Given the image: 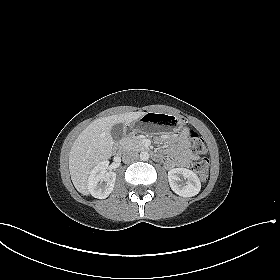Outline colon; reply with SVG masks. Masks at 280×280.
I'll return each mask as SVG.
<instances>
[{
  "mask_svg": "<svg viewBox=\"0 0 280 280\" xmlns=\"http://www.w3.org/2000/svg\"><path fill=\"white\" fill-rule=\"evenodd\" d=\"M188 138L190 141L191 149L197 154H205L207 151L206 144L203 138L192 129H188ZM193 170L200 179L205 180L208 177L209 162L206 158H201L193 165Z\"/></svg>",
  "mask_w": 280,
  "mask_h": 280,
  "instance_id": "obj_1",
  "label": "colon"
}]
</instances>
